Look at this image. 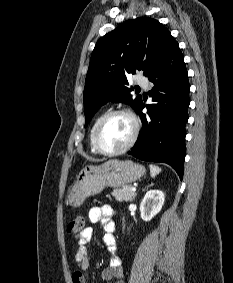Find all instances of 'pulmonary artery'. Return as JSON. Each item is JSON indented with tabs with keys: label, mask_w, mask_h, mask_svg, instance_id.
Instances as JSON below:
<instances>
[{
	"label": "pulmonary artery",
	"mask_w": 233,
	"mask_h": 283,
	"mask_svg": "<svg viewBox=\"0 0 233 283\" xmlns=\"http://www.w3.org/2000/svg\"><path fill=\"white\" fill-rule=\"evenodd\" d=\"M136 82H137V84L139 86H141V87H143L145 89L148 88L149 82H148V80L145 77H139Z\"/></svg>",
	"instance_id": "1"
}]
</instances>
